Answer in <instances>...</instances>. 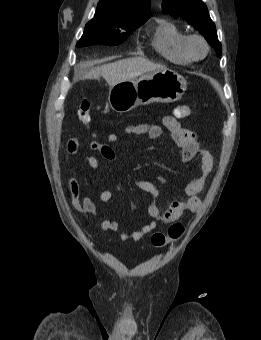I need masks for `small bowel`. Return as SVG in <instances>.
Here are the masks:
<instances>
[{
	"label": "small bowel",
	"mask_w": 261,
	"mask_h": 340,
	"mask_svg": "<svg viewBox=\"0 0 261 340\" xmlns=\"http://www.w3.org/2000/svg\"><path fill=\"white\" fill-rule=\"evenodd\" d=\"M177 117L165 116L162 119V126L150 123H142L131 125L124 129L125 135H147L151 139L160 140L164 135V128L169 131L173 142L181 148L182 159L184 162H189L193 159L198 160V172L193 176L185 187V200L172 202L166 208L162 209L158 201L160 197L159 189L150 181L135 180L136 186L148 193L154 200L148 205V214L153 218L152 221L132 233L126 229H121L118 222L105 218L100 223V228L104 231L119 232L121 240L125 241L133 239L134 241L141 240L144 236L152 233L157 226L162 224H170L177 221L184 213H195L201 206L199 194L203 191L205 181L213 167L212 155L204 149L200 148L199 141L195 133L181 126L176 119ZM118 140V135L111 133L107 136L108 143H115ZM82 140L79 138H71L67 142V152L70 155H76L79 152ZM91 150L99 152L102 157L109 161L116 159V154L113 148L108 144L100 143L98 140L88 142ZM88 165L92 169L99 168V161L96 156L90 155L86 158ZM68 186L71 193V203L75 211L79 214L89 213L97 214L98 207L96 203L89 197H81L80 186L75 178L68 179ZM112 192L109 189L103 190L99 199L102 202H107L111 199Z\"/></svg>",
	"instance_id": "obj_1"
}]
</instances>
